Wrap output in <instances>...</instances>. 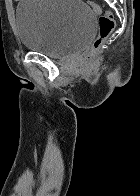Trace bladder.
Masks as SVG:
<instances>
[{
  "instance_id": "31cf9c89",
  "label": "bladder",
  "mask_w": 140,
  "mask_h": 196,
  "mask_svg": "<svg viewBox=\"0 0 140 196\" xmlns=\"http://www.w3.org/2000/svg\"><path fill=\"white\" fill-rule=\"evenodd\" d=\"M15 21L27 50L54 59L84 50L97 32L96 13L81 0H20Z\"/></svg>"
}]
</instances>
